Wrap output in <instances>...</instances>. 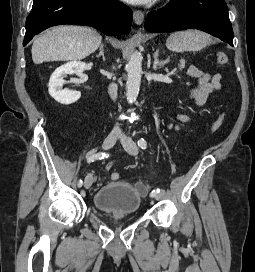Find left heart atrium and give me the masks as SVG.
Returning <instances> with one entry per match:
<instances>
[{"instance_id":"39dd6f15","label":"left heart atrium","mask_w":255,"mask_h":272,"mask_svg":"<svg viewBox=\"0 0 255 272\" xmlns=\"http://www.w3.org/2000/svg\"><path fill=\"white\" fill-rule=\"evenodd\" d=\"M125 1L134 3V4H146L150 2L151 0H125Z\"/></svg>"}]
</instances>
